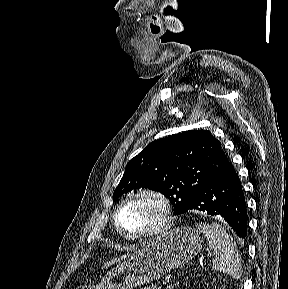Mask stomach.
Masks as SVG:
<instances>
[{
    "label": "stomach",
    "mask_w": 288,
    "mask_h": 289,
    "mask_svg": "<svg viewBox=\"0 0 288 289\" xmlns=\"http://www.w3.org/2000/svg\"><path fill=\"white\" fill-rule=\"evenodd\" d=\"M202 243L200 232L193 227L170 229L136 252L127 262L110 270L101 283L78 289H133L152 282L189 262L201 250Z\"/></svg>",
    "instance_id": "stomach-1"
}]
</instances>
